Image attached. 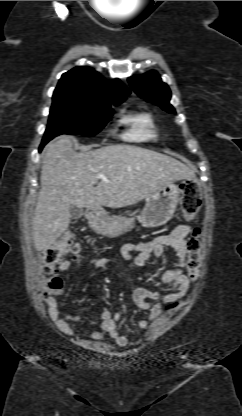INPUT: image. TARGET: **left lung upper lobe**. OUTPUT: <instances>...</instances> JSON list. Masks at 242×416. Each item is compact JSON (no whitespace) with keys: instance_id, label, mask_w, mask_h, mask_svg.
I'll use <instances>...</instances> for the list:
<instances>
[{"instance_id":"5c2ea615","label":"left lung upper lobe","mask_w":242,"mask_h":416,"mask_svg":"<svg viewBox=\"0 0 242 416\" xmlns=\"http://www.w3.org/2000/svg\"><path fill=\"white\" fill-rule=\"evenodd\" d=\"M131 87L140 97L159 105L169 113H175L170 104L171 92L166 83L161 81L156 72H148L128 79Z\"/></svg>"}]
</instances>
